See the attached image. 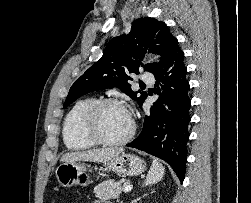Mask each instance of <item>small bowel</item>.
<instances>
[{
	"label": "small bowel",
	"instance_id": "c3829d8e",
	"mask_svg": "<svg viewBox=\"0 0 251 203\" xmlns=\"http://www.w3.org/2000/svg\"><path fill=\"white\" fill-rule=\"evenodd\" d=\"M90 203H100L99 201H91Z\"/></svg>",
	"mask_w": 251,
	"mask_h": 203
}]
</instances>
